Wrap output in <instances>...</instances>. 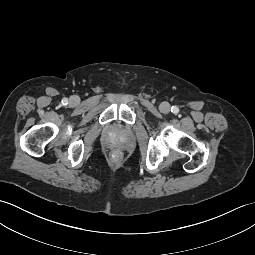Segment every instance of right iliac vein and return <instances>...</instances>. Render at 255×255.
Here are the masks:
<instances>
[{
  "label": "right iliac vein",
  "instance_id": "right-iliac-vein-1",
  "mask_svg": "<svg viewBox=\"0 0 255 255\" xmlns=\"http://www.w3.org/2000/svg\"><path fill=\"white\" fill-rule=\"evenodd\" d=\"M80 99L78 96H73L70 98V104L77 105L79 103Z\"/></svg>",
  "mask_w": 255,
  "mask_h": 255
}]
</instances>
